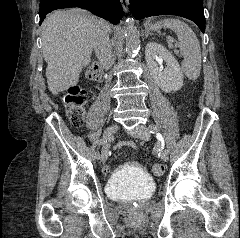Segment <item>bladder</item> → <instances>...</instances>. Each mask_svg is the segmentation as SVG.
I'll use <instances>...</instances> for the list:
<instances>
[{"instance_id":"1","label":"bladder","mask_w":240,"mask_h":238,"mask_svg":"<svg viewBox=\"0 0 240 238\" xmlns=\"http://www.w3.org/2000/svg\"><path fill=\"white\" fill-rule=\"evenodd\" d=\"M154 190L153 179L137 164L122 165L107 183L108 196L117 201L146 199Z\"/></svg>"}]
</instances>
